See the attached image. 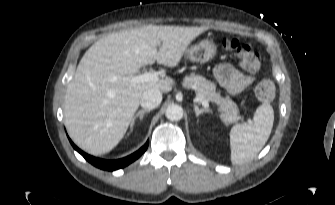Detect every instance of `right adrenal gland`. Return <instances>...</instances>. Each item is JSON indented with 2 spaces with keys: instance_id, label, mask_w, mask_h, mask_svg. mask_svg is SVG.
<instances>
[{
  "instance_id": "right-adrenal-gland-1",
  "label": "right adrenal gland",
  "mask_w": 335,
  "mask_h": 205,
  "mask_svg": "<svg viewBox=\"0 0 335 205\" xmlns=\"http://www.w3.org/2000/svg\"><path fill=\"white\" fill-rule=\"evenodd\" d=\"M148 112H150L149 109H143V110H140V111L137 112V114L133 117V119L131 121V125H130V130L131 131L133 130L136 119L139 118V120L142 121L144 114L148 113Z\"/></svg>"
}]
</instances>
